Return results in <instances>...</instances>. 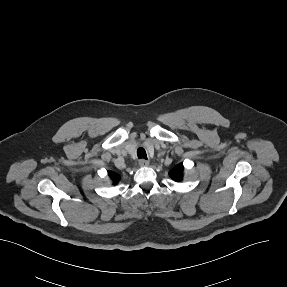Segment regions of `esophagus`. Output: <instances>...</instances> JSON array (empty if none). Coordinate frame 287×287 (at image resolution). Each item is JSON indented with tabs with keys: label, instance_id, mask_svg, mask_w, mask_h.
<instances>
[{
	"label": "esophagus",
	"instance_id": "esophagus-1",
	"mask_svg": "<svg viewBox=\"0 0 287 287\" xmlns=\"http://www.w3.org/2000/svg\"><path fill=\"white\" fill-rule=\"evenodd\" d=\"M139 165L142 166V167H146V166L149 165V161L145 160V159H140L139 160Z\"/></svg>",
	"mask_w": 287,
	"mask_h": 287
}]
</instances>
